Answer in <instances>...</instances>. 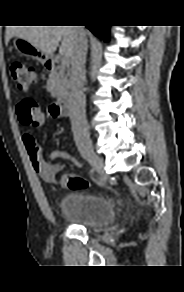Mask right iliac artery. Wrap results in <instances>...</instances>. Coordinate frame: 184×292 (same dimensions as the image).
<instances>
[{
    "mask_svg": "<svg viewBox=\"0 0 184 292\" xmlns=\"http://www.w3.org/2000/svg\"><path fill=\"white\" fill-rule=\"evenodd\" d=\"M98 179H99V182L101 183V181H102L101 176H99Z\"/></svg>",
    "mask_w": 184,
    "mask_h": 292,
    "instance_id": "82829eb1",
    "label": "right iliac artery"
}]
</instances>
